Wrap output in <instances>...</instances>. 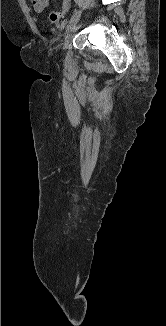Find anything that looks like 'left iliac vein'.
<instances>
[{
  "label": "left iliac vein",
  "mask_w": 166,
  "mask_h": 326,
  "mask_svg": "<svg viewBox=\"0 0 166 326\" xmlns=\"http://www.w3.org/2000/svg\"><path fill=\"white\" fill-rule=\"evenodd\" d=\"M81 13H82V10L79 9L77 10L73 15L72 17L70 18V21L67 25V28H66V35H65V39H64V46L63 48L66 49L68 44H69V41H70V38H71V33L72 31L75 29L80 17H81Z\"/></svg>",
  "instance_id": "1"
}]
</instances>
